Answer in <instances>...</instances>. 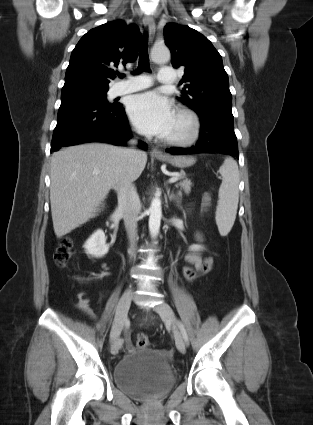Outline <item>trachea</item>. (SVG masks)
Here are the masks:
<instances>
[{"mask_svg": "<svg viewBox=\"0 0 313 425\" xmlns=\"http://www.w3.org/2000/svg\"><path fill=\"white\" fill-rule=\"evenodd\" d=\"M142 71H150L149 68V57H148V34L144 33L143 38L141 40L140 48H139V66L134 74L141 73ZM120 78H123L124 74L118 75Z\"/></svg>", "mask_w": 313, "mask_h": 425, "instance_id": "obj_1", "label": "trachea"}]
</instances>
